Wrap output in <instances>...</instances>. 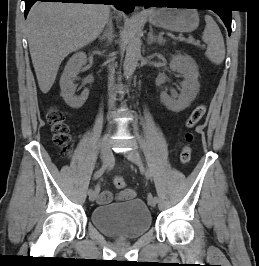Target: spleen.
I'll use <instances>...</instances> for the list:
<instances>
[{"label": "spleen", "mask_w": 259, "mask_h": 266, "mask_svg": "<svg viewBox=\"0 0 259 266\" xmlns=\"http://www.w3.org/2000/svg\"><path fill=\"white\" fill-rule=\"evenodd\" d=\"M206 26L202 40L207 44L206 57L214 64L220 65L225 59V45L221 31L214 19L206 15Z\"/></svg>", "instance_id": "spleen-1"}]
</instances>
